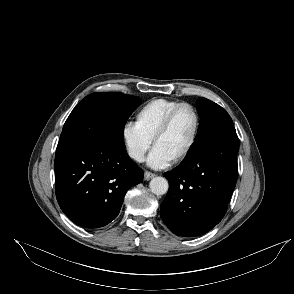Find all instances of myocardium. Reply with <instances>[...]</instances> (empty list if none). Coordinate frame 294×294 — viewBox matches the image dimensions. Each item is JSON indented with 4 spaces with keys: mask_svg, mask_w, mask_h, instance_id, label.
Segmentation results:
<instances>
[{
    "mask_svg": "<svg viewBox=\"0 0 294 294\" xmlns=\"http://www.w3.org/2000/svg\"><path fill=\"white\" fill-rule=\"evenodd\" d=\"M184 108L190 109L192 112L194 118H195V126H194V131L191 137L190 142L186 146V148L173 160L174 163H179L183 160H185L189 154L192 152L194 149L201 130V117L200 114L197 110V108L188 102H181L177 106H175L169 113L165 116L163 121L161 122L160 126L156 130L154 136H153V145L155 146L156 142L158 141L159 138H161L170 128L175 116L178 114L179 111H181Z\"/></svg>",
    "mask_w": 294,
    "mask_h": 294,
    "instance_id": "myocardium-1",
    "label": "myocardium"
}]
</instances>
